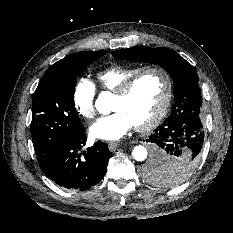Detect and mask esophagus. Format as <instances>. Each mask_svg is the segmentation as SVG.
I'll return each instance as SVG.
<instances>
[{
  "label": "esophagus",
  "mask_w": 233,
  "mask_h": 233,
  "mask_svg": "<svg viewBox=\"0 0 233 233\" xmlns=\"http://www.w3.org/2000/svg\"><path fill=\"white\" fill-rule=\"evenodd\" d=\"M118 146H119L118 142H113L112 141V142L108 143V147H109L110 151H115Z\"/></svg>",
  "instance_id": "1"
}]
</instances>
